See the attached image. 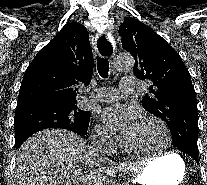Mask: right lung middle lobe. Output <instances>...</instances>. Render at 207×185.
Listing matches in <instances>:
<instances>
[{"label":"right lung middle lobe","instance_id":"obj_1","mask_svg":"<svg viewBox=\"0 0 207 185\" xmlns=\"http://www.w3.org/2000/svg\"><path fill=\"white\" fill-rule=\"evenodd\" d=\"M90 113L77 107L35 106L16 110L15 145L32 134L47 128H62L85 135Z\"/></svg>","mask_w":207,"mask_h":185}]
</instances>
